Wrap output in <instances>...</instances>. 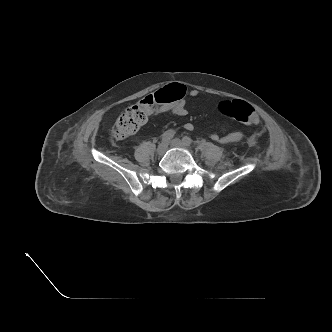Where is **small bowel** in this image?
Listing matches in <instances>:
<instances>
[{"instance_id": "small-bowel-1", "label": "small bowel", "mask_w": 332, "mask_h": 332, "mask_svg": "<svg viewBox=\"0 0 332 332\" xmlns=\"http://www.w3.org/2000/svg\"><path fill=\"white\" fill-rule=\"evenodd\" d=\"M191 97H197L199 95V91L197 89H192L189 92ZM159 115H166V116H186L188 114V110L186 107L185 100H181L175 104L167 105L163 107H159L156 111ZM185 129L187 131H193L194 125L192 123H187L185 125ZM223 135H218L216 133H210L209 137L220 144H233L238 143L242 140L243 134L241 132H230L226 133L225 128L222 127Z\"/></svg>"}]
</instances>
